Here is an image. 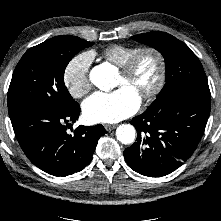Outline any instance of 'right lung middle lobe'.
<instances>
[{
    "instance_id": "1",
    "label": "right lung middle lobe",
    "mask_w": 221,
    "mask_h": 221,
    "mask_svg": "<svg viewBox=\"0 0 221 221\" xmlns=\"http://www.w3.org/2000/svg\"><path fill=\"white\" fill-rule=\"evenodd\" d=\"M79 37H53L26 51L9 86V113L28 107L65 111L78 105L64 85V71L79 51L92 46Z\"/></svg>"
}]
</instances>
